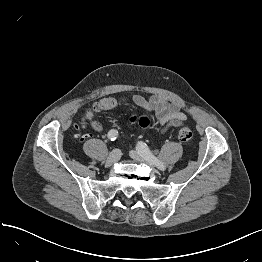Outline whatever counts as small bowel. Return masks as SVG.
I'll return each mask as SVG.
<instances>
[{
    "label": "small bowel",
    "instance_id": "1",
    "mask_svg": "<svg viewBox=\"0 0 262 262\" xmlns=\"http://www.w3.org/2000/svg\"><path fill=\"white\" fill-rule=\"evenodd\" d=\"M134 104L154 114L160 125V133H165L171 127H178L187 120L186 114L181 110L178 103L169 102L160 96H152L146 99L140 95H135L131 98H104L84 108L82 117L88 122L92 129L98 131L99 128L94 122V117L97 112L109 111L117 104Z\"/></svg>",
    "mask_w": 262,
    "mask_h": 262
}]
</instances>
